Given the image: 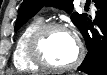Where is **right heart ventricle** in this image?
Returning a JSON list of instances; mask_svg holds the SVG:
<instances>
[{
    "label": "right heart ventricle",
    "mask_w": 107,
    "mask_h": 75,
    "mask_svg": "<svg viewBox=\"0 0 107 75\" xmlns=\"http://www.w3.org/2000/svg\"><path fill=\"white\" fill-rule=\"evenodd\" d=\"M42 24L43 19L41 17L33 19L26 25L17 39L13 53V63L19 71L35 72L41 68L30 59L27 45L31 34Z\"/></svg>",
    "instance_id": "1"
}]
</instances>
